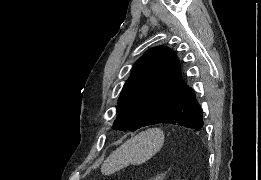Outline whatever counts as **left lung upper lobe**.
Listing matches in <instances>:
<instances>
[{
	"label": "left lung upper lobe",
	"mask_w": 261,
	"mask_h": 180,
	"mask_svg": "<svg viewBox=\"0 0 261 180\" xmlns=\"http://www.w3.org/2000/svg\"><path fill=\"white\" fill-rule=\"evenodd\" d=\"M185 85L174 51L166 47L149 49L123 86L114 128L134 131L151 125Z\"/></svg>",
	"instance_id": "1"
}]
</instances>
